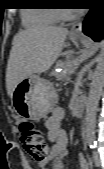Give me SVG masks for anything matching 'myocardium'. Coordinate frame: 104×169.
Segmentation results:
<instances>
[{
  "mask_svg": "<svg viewBox=\"0 0 104 169\" xmlns=\"http://www.w3.org/2000/svg\"><path fill=\"white\" fill-rule=\"evenodd\" d=\"M55 13L60 20H70L75 17V13L65 9H55Z\"/></svg>",
  "mask_w": 104,
  "mask_h": 169,
  "instance_id": "f54148a6",
  "label": "myocardium"
}]
</instances>
